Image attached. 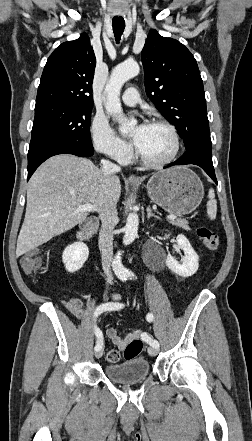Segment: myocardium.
Returning a JSON list of instances; mask_svg holds the SVG:
<instances>
[{
    "mask_svg": "<svg viewBox=\"0 0 252 441\" xmlns=\"http://www.w3.org/2000/svg\"><path fill=\"white\" fill-rule=\"evenodd\" d=\"M147 125L162 126V127L166 128L170 132L172 139H173V150L167 158H165L161 161L148 160L138 150H136V156H137L138 160L140 161V163L146 168H151V169L163 168V167L171 164L175 160V158L177 157V155L180 151V137H179L178 131L174 125H172L170 122L163 120V119H152L148 122Z\"/></svg>",
    "mask_w": 252,
    "mask_h": 441,
    "instance_id": "myocardium-1",
    "label": "myocardium"
}]
</instances>
